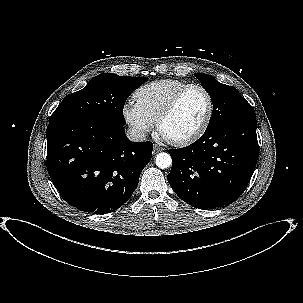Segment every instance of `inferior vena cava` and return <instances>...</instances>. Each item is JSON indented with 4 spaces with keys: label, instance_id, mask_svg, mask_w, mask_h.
I'll use <instances>...</instances> for the list:
<instances>
[{
    "label": "inferior vena cava",
    "instance_id": "inferior-vena-cava-1",
    "mask_svg": "<svg viewBox=\"0 0 303 303\" xmlns=\"http://www.w3.org/2000/svg\"><path fill=\"white\" fill-rule=\"evenodd\" d=\"M127 137L134 142H143L147 140V135L143 130L130 128L126 132Z\"/></svg>",
    "mask_w": 303,
    "mask_h": 303
}]
</instances>
